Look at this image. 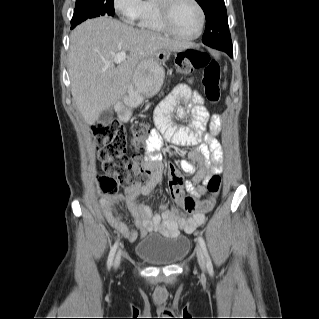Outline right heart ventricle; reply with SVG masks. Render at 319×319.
Segmentation results:
<instances>
[{
    "mask_svg": "<svg viewBox=\"0 0 319 319\" xmlns=\"http://www.w3.org/2000/svg\"><path fill=\"white\" fill-rule=\"evenodd\" d=\"M157 4V0L144 1L137 19V24L144 30L163 33L165 32V29L160 19Z\"/></svg>",
    "mask_w": 319,
    "mask_h": 319,
    "instance_id": "e07e8e85",
    "label": "right heart ventricle"
}]
</instances>
